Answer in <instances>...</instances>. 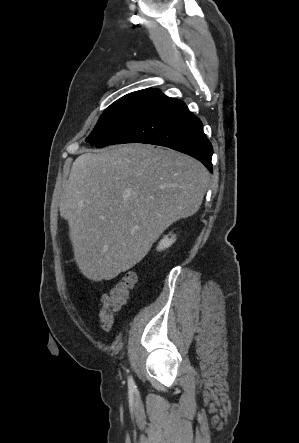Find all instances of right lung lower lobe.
<instances>
[{
	"mask_svg": "<svg viewBox=\"0 0 299 443\" xmlns=\"http://www.w3.org/2000/svg\"><path fill=\"white\" fill-rule=\"evenodd\" d=\"M146 143L169 147L200 160L212 172L213 148L202 122L181 100L162 94L110 145Z\"/></svg>",
	"mask_w": 299,
	"mask_h": 443,
	"instance_id": "1",
	"label": "right lung lower lobe"
}]
</instances>
